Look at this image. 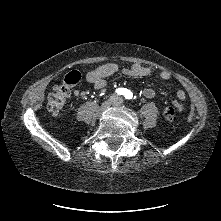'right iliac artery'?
Listing matches in <instances>:
<instances>
[{
	"label": "right iliac artery",
	"mask_w": 221,
	"mask_h": 221,
	"mask_svg": "<svg viewBox=\"0 0 221 221\" xmlns=\"http://www.w3.org/2000/svg\"><path fill=\"white\" fill-rule=\"evenodd\" d=\"M118 94H125V89L124 88H119V89H117V91H116Z\"/></svg>",
	"instance_id": "right-iliac-artery-1"
}]
</instances>
